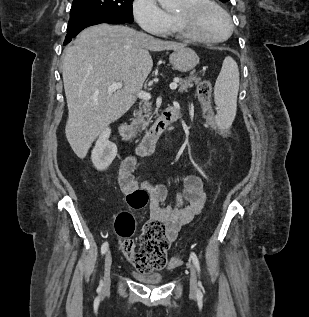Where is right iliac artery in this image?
<instances>
[{"label":"right iliac artery","mask_w":309,"mask_h":317,"mask_svg":"<svg viewBox=\"0 0 309 317\" xmlns=\"http://www.w3.org/2000/svg\"><path fill=\"white\" fill-rule=\"evenodd\" d=\"M108 250V242H104L101 246V254L104 255ZM102 285V281L100 282V287Z\"/></svg>","instance_id":"1"}]
</instances>
